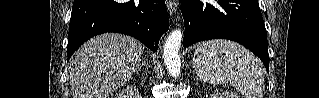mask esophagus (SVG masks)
<instances>
[{
  "instance_id": "obj_1",
  "label": "esophagus",
  "mask_w": 319,
  "mask_h": 98,
  "mask_svg": "<svg viewBox=\"0 0 319 98\" xmlns=\"http://www.w3.org/2000/svg\"><path fill=\"white\" fill-rule=\"evenodd\" d=\"M167 9L170 15H174L177 11L178 3L175 0H166Z\"/></svg>"
}]
</instances>
